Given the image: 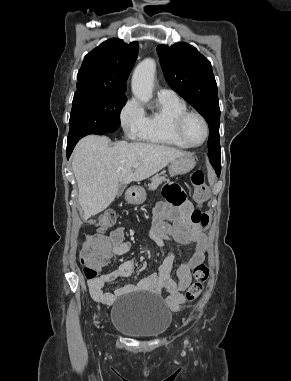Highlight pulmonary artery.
Listing matches in <instances>:
<instances>
[{
	"label": "pulmonary artery",
	"instance_id": "1",
	"mask_svg": "<svg viewBox=\"0 0 291 381\" xmlns=\"http://www.w3.org/2000/svg\"><path fill=\"white\" fill-rule=\"evenodd\" d=\"M158 96H161V97H174V96H176V94L171 89L161 88V89L158 90Z\"/></svg>",
	"mask_w": 291,
	"mask_h": 381
}]
</instances>
